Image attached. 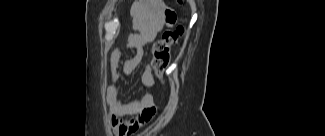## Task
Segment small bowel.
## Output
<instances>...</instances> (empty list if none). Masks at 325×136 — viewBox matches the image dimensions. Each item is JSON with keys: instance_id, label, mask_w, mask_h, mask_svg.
I'll return each instance as SVG.
<instances>
[{"instance_id": "obj_1", "label": "small bowel", "mask_w": 325, "mask_h": 136, "mask_svg": "<svg viewBox=\"0 0 325 136\" xmlns=\"http://www.w3.org/2000/svg\"><path fill=\"white\" fill-rule=\"evenodd\" d=\"M162 26V21L156 20L140 37V40L133 45L136 55L125 62L123 72L130 73L135 68L140 61L141 50L156 39ZM121 57L122 52L119 49L113 50L109 55V84L106 88V101L110 110L112 130L117 136H128L149 123L154 117L156 109L151 94H145L139 100L130 103H124L119 99ZM141 81L147 88L154 85V77L149 67L142 72ZM124 116H131V118L123 119Z\"/></svg>"}]
</instances>
